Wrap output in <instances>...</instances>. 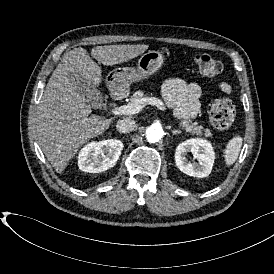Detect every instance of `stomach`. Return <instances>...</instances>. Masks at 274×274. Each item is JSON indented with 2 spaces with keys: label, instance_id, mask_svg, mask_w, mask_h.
Here are the masks:
<instances>
[{
  "label": "stomach",
  "instance_id": "0dacf381",
  "mask_svg": "<svg viewBox=\"0 0 274 274\" xmlns=\"http://www.w3.org/2000/svg\"><path fill=\"white\" fill-rule=\"evenodd\" d=\"M164 63L163 53L149 50L138 60L137 68L130 71L113 70L106 79V86L112 93L122 95L132 82H139L158 71Z\"/></svg>",
  "mask_w": 274,
  "mask_h": 274
}]
</instances>
